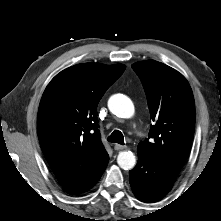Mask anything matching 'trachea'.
<instances>
[{"mask_svg": "<svg viewBox=\"0 0 221 221\" xmlns=\"http://www.w3.org/2000/svg\"><path fill=\"white\" fill-rule=\"evenodd\" d=\"M107 140L112 143L124 145V137L119 130H114Z\"/></svg>", "mask_w": 221, "mask_h": 221, "instance_id": "trachea-1", "label": "trachea"}]
</instances>
